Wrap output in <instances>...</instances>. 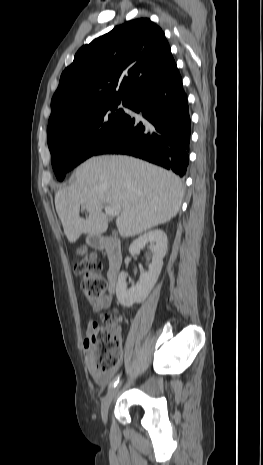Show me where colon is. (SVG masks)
Returning <instances> with one entry per match:
<instances>
[{
  "label": "colon",
  "mask_w": 263,
  "mask_h": 465,
  "mask_svg": "<svg viewBox=\"0 0 263 465\" xmlns=\"http://www.w3.org/2000/svg\"><path fill=\"white\" fill-rule=\"evenodd\" d=\"M81 259L75 264L74 271L82 277L81 289L92 302L99 300L106 291V281L99 274L101 263L93 253L80 250ZM103 324H94L86 343L91 349V360L95 368L102 373L114 370L121 360V339L114 325L115 317L109 314L101 316Z\"/></svg>",
  "instance_id": "obj_1"
}]
</instances>
